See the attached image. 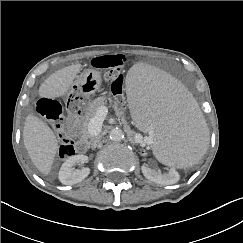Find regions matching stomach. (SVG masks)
I'll return each mask as SVG.
<instances>
[{
	"instance_id": "1",
	"label": "stomach",
	"mask_w": 243,
	"mask_h": 243,
	"mask_svg": "<svg viewBox=\"0 0 243 243\" xmlns=\"http://www.w3.org/2000/svg\"><path fill=\"white\" fill-rule=\"evenodd\" d=\"M102 78L98 70L87 69L73 82L65 97L70 119H78L87 110L88 99L101 89Z\"/></svg>"
}]
</instances>
